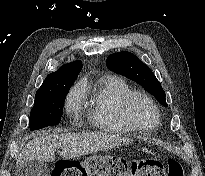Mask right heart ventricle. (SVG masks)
Wrapping results in <instances>:
<instances>
[{
  "mask_svg": "<svg viewBox=\"0 0 205 176\" xmlns=\"http://www.w3.org/2000/svg\"><path fill=\"white\" fill-rule=\"evenodd\" d=\"M133 92L131 86L118 76L100 77L89 93L88 113L95 126L112 134L134 132L123 114L124 100Z\"/></svg>",
  "mask_w": 205,
  "mask_h": 176,
  "instance_id": "e07e8e85",
  "label": "right heart ventricle"
}]
</instances>
